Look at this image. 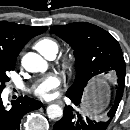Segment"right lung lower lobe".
I'll use <instances>...</instances> for the list:
<instances>
[{
    "instance_id": "obj_1",
    "label": "right lung lower lobe",
    "mask_w": 130,
    "mask_h": 130,
    "mask_svg": "<svg viewBox=\"0 0 130 130\" xmlns=\"http://www.w3.org/2000/svg\"><path fill=\"white\" fill-rule=\"evenodd\" d=\"M0 91V130H20V121L27 112L39 109L40 101L27 96L19 97L11 102L10 108H6L2 102Z\"/></svg>"
}]
</instances>
